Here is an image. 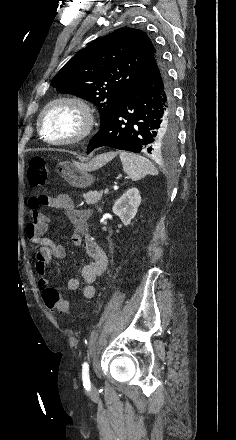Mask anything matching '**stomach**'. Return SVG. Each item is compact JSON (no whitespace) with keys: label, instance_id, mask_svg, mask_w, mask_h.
Returning a JSON list of instances; mask_svg holds the SVG:
<instances>
[{"label":"stomach","instance_id":"stomach-1","mask_svg":"<svg viewBox=\"0 0 236 440\" xmlns=\"http://www.w3.org/2000/svg\"><path fill=\"white\" fill-rule=\"evenodd\" d=\"M93 170L89 164L66 161L58 163L55 167V172L76 188H85L94 183L95 177L91 174Z\"/></svg>","mask_w":236,"mask_h":440}]
</instances>
